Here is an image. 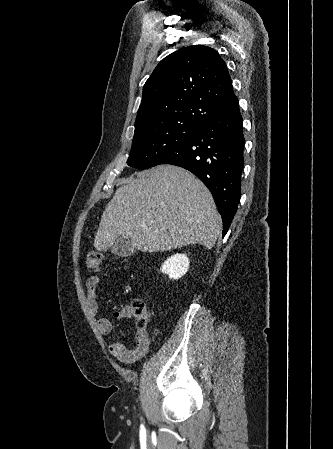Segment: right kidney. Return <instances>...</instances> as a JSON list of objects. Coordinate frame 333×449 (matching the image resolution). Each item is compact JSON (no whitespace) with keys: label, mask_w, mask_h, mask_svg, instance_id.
<instances>
[{"label":"right kidney","mask_w":333,"mask_h":449,"mask_svg":"<svg viewBox=\"0 0 333 449\" xmlns=\"http://www.w3.org/2000/svg\"><path fill=\"white\" fill-rule=\"evenodd\" d=\"M189 264V258L186 254H174L162 264L161 270L170 279L177 280L187 273Z\"/></svg>","instance_id":"obj_1"}]
</instances>
